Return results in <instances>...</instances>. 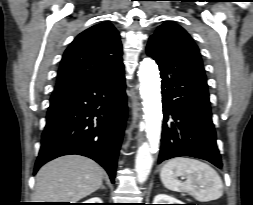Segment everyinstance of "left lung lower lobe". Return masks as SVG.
Segmentation results:
<instances>
[{"mask_svg": "<svg viewBox=\"0 0 253 205\" xmlns=\"http://www.w3.org/2000/svg\"><path fill=\"white\" fill-rule=\"evenodd\" d=\"M147 54L157 62L162 78L164 120L158 163L191 156L221 168L203 65L155 39L149 40Z\"/></svg>", "mask_w": 253, "mask_h": 205, "instance_id": "1", "label": "left lung lower lobe"}]
</instances>
